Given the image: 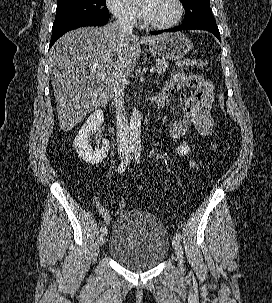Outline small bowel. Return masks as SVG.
Instances as JSON below:
<instances>
[{"mask_svg": "<svg viewBox=\"0 0 272 303\" xmlns=\"http://www.w3.org/2000/svg\"><path fill=\"white\" fill-rule=\"evenodd\" d=\"M167 91L171 98L178 96L183 120L172 125L170 133L174 138L189 135V127L194 126L202 137H211L214 134V116L212 113L215 101L214 84L197 74L174 72L167 84ZM189 164L198 169L199 163L191 159Z\"/></svg>", "mask_w": 272, "mask_h": 303, "instance_id": "c3829d8e", "label": "small bowel"}]
</instances>
